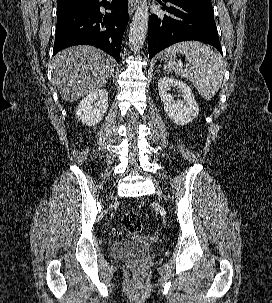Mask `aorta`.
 I'll return each instance as SVG.
<instances>
[{"label": "aorta", "instance_id": "obj_1", "mask_svg": "<svg viewBox=\"0 0 272 303\" xmlns=\"http://www.w3.org/2000/svg\"><path fill=\"white\" fill-rule=\"evenodd\" d=\"M149 11L147 0H141L132 18L129 31V48L136 53L141 49L148 30Z\"/></svg>", "mask_w": 272, "mask_h": 303}]
</instances>
